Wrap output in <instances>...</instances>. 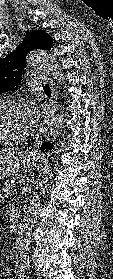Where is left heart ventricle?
I'll list each match as a JSON object with an SVG mask.
<instances>
[{"mask_svg":"<svg viewBox=\"0 0 113 279\" xmlns=\"http://www.w3.org/2000/svg\"><path fill=\"white\" fill-rule=\"evenodd\" d=\"M28 128L25 108L11 104L0 105V137L19 136Z\"/></svg>","mask_w":113,"mask_h":279,"instance_id":"b2bd125f","label":"left heart ventricle"}]
</instances>
